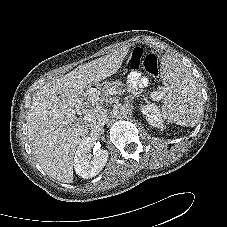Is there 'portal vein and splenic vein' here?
<instances>
[{"label": "portal vein and splenic vein", "instance_id": "portal-vein-and-splenic-vein-1", "mask_svg": "<svg viewBox=\"0 0 227 227\" xmlns=\"http://www.w3.org/2000/svg\"><path fill=\"white\" fill-rule=\"evenodd\" d=\"M114 93V91L112 92V94ZM154 99L155 98H157V97H155V95H154V97H153ZM91 100L93 101L94 100V98H91ZM86 116H87V118H89L90 119V117L92 116L90 113H88V114H86Z\"/></svg>", "mask_w": 227, "mask_h": 227}]
</instances>
